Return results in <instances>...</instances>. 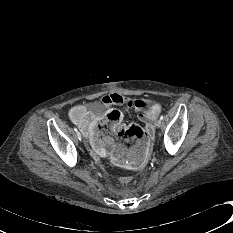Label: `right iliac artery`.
Wrapping results in <instances>:
<instances>
[{"mask_svg":"<svg viewBox=\"0 0 233 233\" xmlns=\"http://www.w3.org/2000/svg\"><path fill=\"white\" fill-rule=\"evenodd\" d=\"M75 132H78L77 128H74Z\"/></svg>","mask_w":233,"mask_h":233,"instance_id":"right-iliac-artery-1","label":"right iliac artery"}]
</instances>
